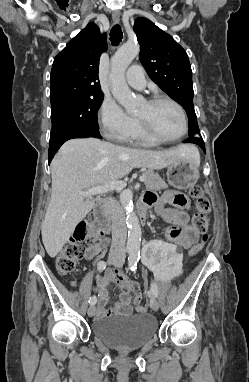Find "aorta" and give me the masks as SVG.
Listing matches in <instances>:
<instances>
[{
    "instance_id": "obj_1",
    "label": "aorta",
    "mask_w": 249,
    "mask_h": 382,
    "mask_svg": "<svg viewBox=\"0 0 249 382\" xmlns=\"http://www.w3.org/2000/svg\"><path fill=\"white\" fill-rule=\"evenodd\" d=\"M139 50L138 43L127 42L116 51L111 59V92L128 112H133L136 109L137 100L125 81V71L138 55ZM120 201L126 214L128 227L126 249L130 256H137L140 254L141 227L138 217L133 211L132 192L130 190L122 192Z\"/></svg>"
}]
</instances>
